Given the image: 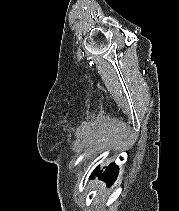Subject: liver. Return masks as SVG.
<instances>
[{
  "label": "liver",
  "instance_id": "obj_1",
  "mask_svg": "<svg viewBox=\"0 0 179 211\" xmlns=\"http://www.w3.org/2000/svg\"><path fill=\"white\" fill-rule=\"evenodd\" d=\"M102 188H103V189H105V186H104V184L102 185Z\"/></svg>",
  "mask_w": 179,
  "mask_h": 211
}]
</instances>
